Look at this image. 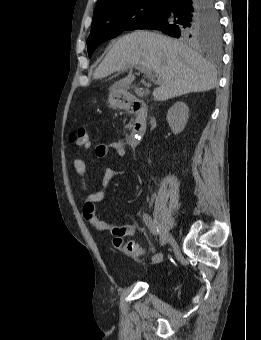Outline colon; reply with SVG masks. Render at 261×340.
Returning a JSON list of instances; mask_svg holds the SVG:
<instances>
[{"instance_id": "colon-1", "label": "colon", "mask_w": 261, "mask_h": 340, "mask_svg": "<svg viewBox=\"0 0 261 340\" xmlns=\"http://www.w3.org/2000/svg\"><path fill=\"white\" fill-rule=\"evenodd\" d=\"M89 138L86 129L82 126H79L74 129L71 135V141L74 142L77 146H82L83 143ZM113 246L120 252L130 255L133 257H138L142 254V248L135 243L134 241H124L120 237H114Z\"/></svg>"}]
</instances>
